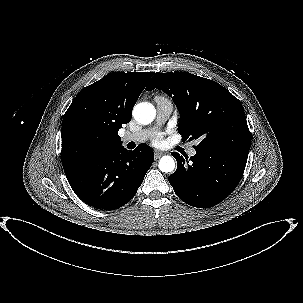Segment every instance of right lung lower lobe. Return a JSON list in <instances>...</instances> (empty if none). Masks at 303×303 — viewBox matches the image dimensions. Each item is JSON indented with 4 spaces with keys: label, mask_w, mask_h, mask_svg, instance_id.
<instances>
[{
    "label": "right lung lower lobe",
    "mask_w": 303,
    "mask_h": 303,
    "mask_svg": "<svg viewBox=\"0 0 303 303\" xmlns=\"http://www.w3.org/2000/svg\"><path fill=\"white\" fill-rule=\"evenodd\" d=\"M153 160V151L144 144L133 151L120 146L65 174L85 203L114 210L134 197Z\"/></svg>",
    "instance_id": "obj_1"
}]
</instances>
